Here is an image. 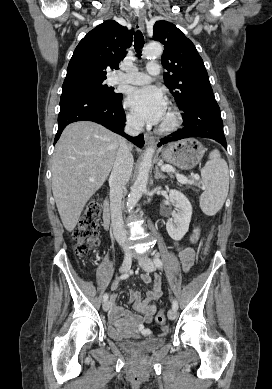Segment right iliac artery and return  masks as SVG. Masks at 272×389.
Masks as SVG:
<instances>
[{
    "label": "right iliac artery",
    "instance_id": "obj_1",
    "mask_svg": "<svg viewBox=\"0 0 272 389\" xmlns=\"http://www.w3.org/2000/svg\"><path fill=\"white\" fill-rule=\"evenodd\" d=\"M128 276H129V274H127V273L126 274H122L121 276L117 277V280L120 281V280L126 279ZM103 300L104 301L108 300V294L107 293L104 294Z\"/></svg>",
    "mask_w": 272,
    "mask_h": 389
}]
</instances>
